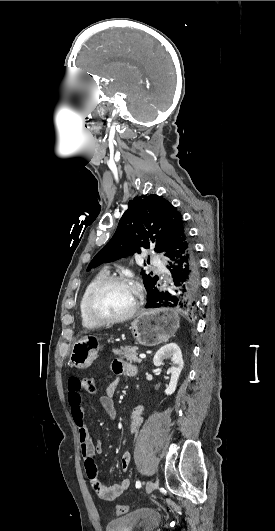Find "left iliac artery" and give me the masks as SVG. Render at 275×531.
<instances>
[{
    "mask_svg": "<svg viewBox=\"0 0 275 531\" xmlns=\"http://www.w3.org/2000/svg\"><path fill=\"white\" fill-rule=\"evenodd\" d=\"M141 487V482L138 480L136 481V488H140Z\"/></svg>",
    "mask_w": 275,
    "mask_h": 531,
    "instance_id": "1",
    "label": "left iliac artery"
}]
</instances>
